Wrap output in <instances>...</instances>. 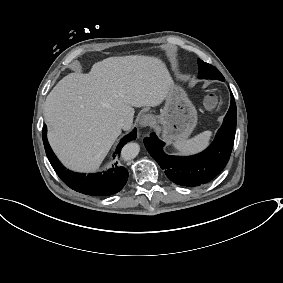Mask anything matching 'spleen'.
<instances>
[{
    "mask_svg": "<svg viewBox=\"0 0 283 283\" xmlns=\"http://www.w3.org/2000/svg\"><path fill=\"white\" fill-rule=\"evenodd\" d=\"M211 135V131H204L192 139L176 141L174 147L183 155L194 154L208 146Z\"/></svg>",
    "mask_w": 283,
    "mask_h": 283,
    "instance_id": "3e777b00",
    "label": "spleen"
}]
</instances>
